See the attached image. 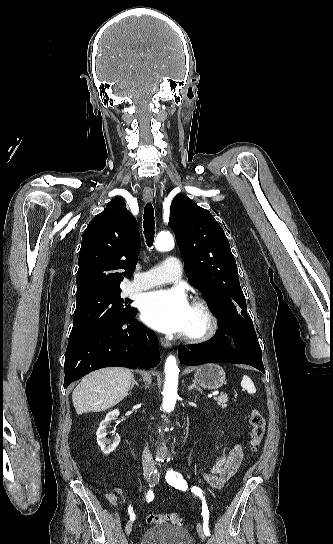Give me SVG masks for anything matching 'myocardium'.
<instances>
[{"instance_id":"f54148a6","label":"myocardium","mask_w":333,"mask_h":544,"mask_svg":"<svg viewBox=\"0 0 333 544\" xmlns=\"http://www.w3.org/2000/svg\"><path fill=\"white\" fill-rule=\"evenodd\" d=\"M192 306L202 313L204 317V326L197 332H184L182 338L191 343L205 342L216 334L219 326L218 316L208 301L203 298H195L192 302Z\"/></svg>"}]
</instances>
